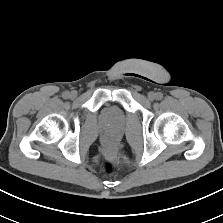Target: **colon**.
<instances>
[{"label": "colon", "mask_w": 223, "mask_h": 223, "mask_svg": "<svg viewBox=\"0 0 223 223\" xmlns=\"http://www.w3.org/2000/svg\"><path fill=\"white\" fill-rule=\"evenodd\" d=\"M116 141L113 137H109L107 141V151L112 152L115 149ZM104 169L108 173H113L121 169V165L114 162H106L104 164Z\"/></svg>", "instance_id": "colon-1"}]
</instances>
